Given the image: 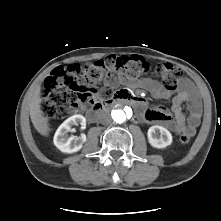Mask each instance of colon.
Here are the masks:
<instances>
[{
	"label": "colon",
	"instance_id": "obj_1",
	"mask_svg": "<svg viewBox=\"0 0 221 221\" xmlns=\"http://www.w3.org/2000/svg\"><path fill=\"white\" fill-rule=\"evenodd\" d=\"M112 70L124 71L131 80L153 73L167 90L175 89L184 75L182 69L173 64H150L138 56H110L84 66H60L45 80L40 105L42 114L48 119H62L69 110L95 100L97 84ZM190 138L189 133H183L180 141L187 143Z\"/></svg>",
	"mask_w": 221,
	"mask_h": 221
}]
</instances>
